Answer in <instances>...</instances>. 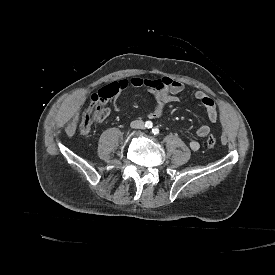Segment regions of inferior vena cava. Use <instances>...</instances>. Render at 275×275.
<instances>
[{"mask_svg": "<svg viewBox=\"0 0 275 275\" xmlns=\"http://www.w3.org/2000/svg\"><path fill=\"white\" fill-rule=\"evenodd\" d=\"M131 128L141 129L144 127V122L142 120H134L130 123Z\"/></svg>", "mask_w": 275, "mask_h": 275, "instance_id": "obj_1", "label": "inferior vena cava"}]
</instances>
